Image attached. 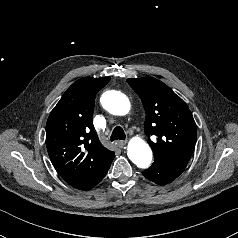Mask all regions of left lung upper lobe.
I'll use <instances>...</instances> for the list:
<instances>
[{"mask_svg":"<svg viewBox=\"0 0 238 238\" xmlns=\"http://www.w3.org/2000/svg\"><path fill=\"white\" fill-rule=\"evenodd\" d=\"M128 84L143 103L146 119L145 134L154 160L187 165L194 151L197 129L187 104L167 85L154 78L128 79Z\"/></svg>","mask_w":238,"mask_h":238,"instance_id":"left-lung-upper-lobe-1","label":"left lung upper lobe"}]
</instances>
